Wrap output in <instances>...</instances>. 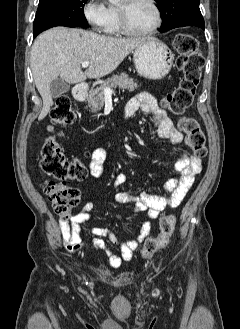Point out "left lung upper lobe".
I'll use <instances>...</instances> for the list:
<instances>
[{
	"label": "left lung upper lobe",
	"instance_id": "obj_1",
	"mask_svg": "<svg viewBox=\"0 0 240 329\" xmlns=\"http://www.w3.org/2000/svg\"><path fill=\"white\" fill-rule=\"evenodd\" d=\"M162 18L160 32L175 27H204V20L199 9V0H155Z\"/></svg>",
	"mask_w": 240,
	"mask_h": 329
}]
</instances>
